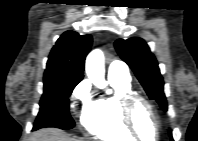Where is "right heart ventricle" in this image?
Instances as JSON below:
<instances>
[{"mask_svg":"<svg viewBox=\"0 0 198 141\" xmlns=\"http://www.w3.org/2000/svg\"><path fill=\"white\" fill-rule=\"evenodd\" d=\"M114 94L95 100L84 117V128L94 137L104 141H133L135 138L125 128L119 109V98L131 92L130 82L109 80Z\"/></svg>","mask_w":198,"mask_h":141,"instance_id":"e07e8e85","label":"right heart ventricle"}]
</instances>
